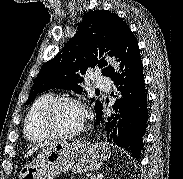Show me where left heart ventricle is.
Wrapping results in <instances>:
<instances>
[{
	"instance_id": "b2bd125f",
	"label": "left heart ventricle",
	"mask_w": 183,
	"mask_h": 179,
	"mask_svg": "<svg viewBox=\"0 0 183 179\" xmlns=\"http://www.w3.org/2000/svg\"><path fill=\"white\" fill-rule=\"evenodd\" d=\"M83 120L81 109L75 104L63 103L53 112L51 127L59 133H70L76 130Z\"/></svg>"
}]
</instances>
